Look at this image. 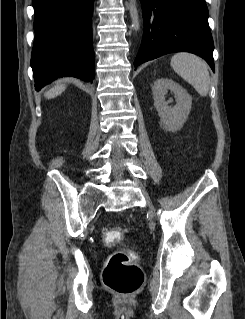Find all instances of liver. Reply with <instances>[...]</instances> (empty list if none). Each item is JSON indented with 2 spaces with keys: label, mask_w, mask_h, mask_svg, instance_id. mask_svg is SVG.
I'll list each match as a JSON object with an SVG mask.
<instances>
[{
  "label": "liver",
  "mask_w": 245,
  "mask_h": 319,
  "mask_svg": "<svg viewBox=\"0 0 245 319\" xmlns=\"http://www.w3.org/2000/svg\"><path fill=\"white\" fill-rule=\"evenodd\" d=\"M64 85H57L54 88L50 89L45 93V97L48 99L55 98L56 96L60 95L65 90Z\"/></svg>",
  "instance_id": "1"
}]
</instances>
